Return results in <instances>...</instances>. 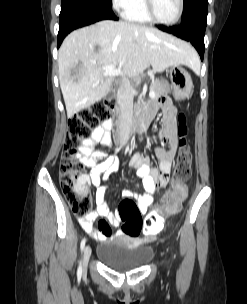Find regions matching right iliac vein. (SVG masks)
I'll list each match as a JSON object with an SVG mask.
<instances>
[{
  "mask_svg": "<svg viewBox=\"0 0 247 304\" xmlns=\"http://www.w3.org/2000/svg\"><path fill=\"white\" fill-rule=\"evenodd\" d=\"M91 248L90 246H86L84 248V256H83V269L85 270L87 268L90 256H91Z\"/></svg>",
  "mask_w": 247,
  "mask_h": 304,
  "instance_id": "obj_1",
  "label": "right iliac vein"
}]
</instances>
